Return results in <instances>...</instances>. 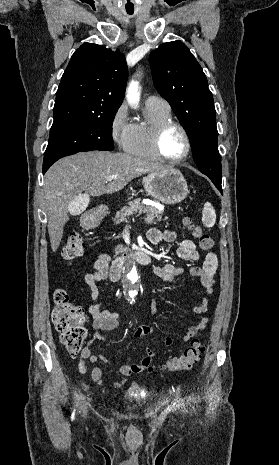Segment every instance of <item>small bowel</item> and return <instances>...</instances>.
Here are the masks:
<instances>
[{
  "label": "small bowel",
  "mask_w": 279,
  "mask_h": 465,
  "mask_svg": "<svg viewBox=\"0 0 279 465\" xmlns=\"http://www.w3.org/2000/svg\"><path fill=\"white\" fill-rule=\"evenodd\" d=\"M148 240L151 243H172L176 240V234L173 231L169 230H159L152 228L148 231L147 234ZM177 255L185 260L196 261L199 259V253L197 251L196 245L192 240L184 239L178 243ZM111 256L101 251L99 252L94 261L95 272L87 274L85 276V282L88 285L91 291L92 303L88 307V311L93 318L92 327L94 330L93 335L87 341L83 347L80 359L78 360V368L81 373L87 372V366L83 362V358L89 360L90 364L95 365L99 361L105 362L110 367H118L120 373L125 377L120 382L113 383V388H119L126 383L127 378L133 374L140 373L150 367L151 360L155 356V351L152 348L146 349L145 356L139 362H133L129 358L124 364H119L116 362H111L103 355H93L91 346L94 341H105L106 337L101 333V331H109L116 329L119 326V315L117 313H112L108 310H102L100 304L98 303V298L100 296L99 283L107 279H111L112 266L110 267ZM154 274L159 278L163 283L171 282L175 276L179 275L182 272V269L171 264L166 263L162 265H153L152 267ZM217 270V257L213 252H208L204 256V261L201 266H194L190 269V273L194 276H199L201 278V283L205 288V296L202 298L200 303L192 308L193 312L197 314H205L208 310L209 300L208 296L213 293L214 286V275ZM152 313H156V305L153 304L151 307ZM208 323V317L203 316L198 323L189 326L185 335L181 338L180 343L189 342L198 331L204 329ZM154 328L149 326L139 327L134 332L135 338H141L148 336L154 333ZM172 344V339L166 337L164 339V345L170 346ZM91 378L92 380L99 384H103V372L102 369L98 366H93L91 369Z\"/></svg>",
  "instance_id": "1"
}]
</instances>
